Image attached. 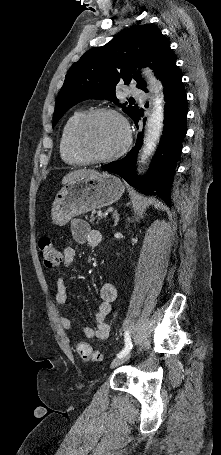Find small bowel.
Here are the masks:
<instances>
[{
  "label": "small bowel",
  "instance_id": "1",
  "mask_svg": "<svg viewBox=\"0 0 221 455\" xmlns=\"http://www.w3.org/2000/svg\"><path fill=\"white\" fill-rule=\"evenodd\" d=\"M102 242V235L98 230L90 228L81 220H74L70 230V241L62 250V266L69 267L75 260L76 251L74 244H88L98 246ZM117 290L112 283H104L100 288V302L95 313V328L84 327L83 333L88 339L106 340L110 333V326L106 318L111 311L112 303L116 300ZM55 300L58 304L68 301V293L65 280L60 277L57 280ZM60 325L65 330H71L72 322L66 316L59 317Z\"/></svg>",
  "mask_w": 221,
  "mask_h": 455
}]
</instances>
